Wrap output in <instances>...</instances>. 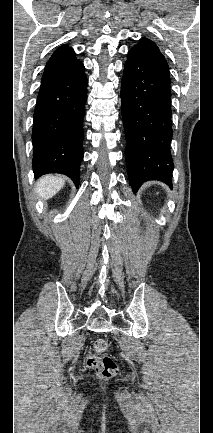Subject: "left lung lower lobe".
Wrapping results in <instances>:
<instances>
[{
	"label": "left lung lower lobe",
	"instance_id": "1",
	"mask_svg": "<svg viewBox=\"0 0 213 433\" xmlns=\"http://www.w3.org/2000/svg\"><path fill=\"white\" fill-rule=\"evenodd\" d=\"M170 82L163 58L141 48L129 50L121 82V112L133 192L148 180L172 185Z\"/></svg>",
	"mask_w": 213,
	"mask_h": 433
}]
</instances>
